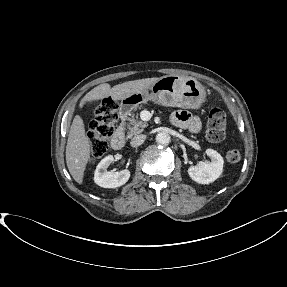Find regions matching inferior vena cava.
Masks as SVG:
<instances>
[{"label":"inferior vena cava","instance_id":"obj_1","mask_svg":"<svg viewBox=\"0 0 287 287\" xmlns=\"http://www.w3.org/2000/svg\"><path fill=\"white\" fill-rule=\"evenodd\" d=\"M145 139H146V135H143V134L136 135L135 137L131 139L130 144L132 147H138L144 143Z\"/></svg>","mask_w":287,"mask_h":287}]
</instances>
